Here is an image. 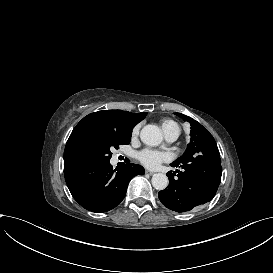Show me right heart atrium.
Listing matches in <instances>:
<instances>
[{
    "mask_svg": "<svg viewBox=\"0 0 273 273\" xmlns=\"http://www.w3.org/2000/svg\"><path fill=\"white\" fill-rule=\"evenodd\" d=\"M138 132H139L138 127H135V128L133 129V132H132L133 136L137 135Z\"/></svg>",
    "mask_w": 273,
    "mask_h": 273,
    "instance_id": "right-heart-atrium-1",
    "label": "right heart atrium"
}]
</instances>
